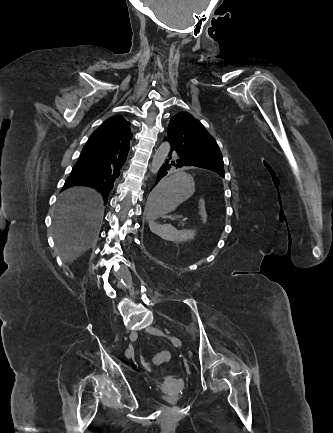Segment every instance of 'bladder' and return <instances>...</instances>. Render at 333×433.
Returning a JSON list of instances; mask_svg holds the SVG:
<instances>
[{"instance_id": "31cf9c89", "label": "bladder", "mask_w": 333, "mask_h": 433, "mask_svg": "<svg viewBox=\"0 0 333 433\" xmlns=\"http://www.w3.org/2000/svg\"><path fill=\"white\" fill-rule=\"evenodd\" d=\"M183 397L182 394H171V393H163L162 398L170 403H175L181 400Z\"/></svg>"}]
</instances>
